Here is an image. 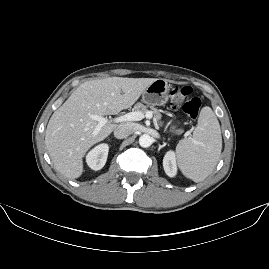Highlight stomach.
<instances>
[{
  "mask_svg": "<svg viewBox=\"0 0 269 269\" xmlns=\"http://www.w3.org/2000/svg\"><path fill=\"white\" fill-rule=\"evenodd\" d=\"M170 87L167 80L157 79L144 92L143 101L147 105L162 106L169 101Z\"/></svg>",
  "mask_w": 269,
  "mask_h": 269,
  "instance_id": "1",
  "label": "stomach"
}]
</instances>
